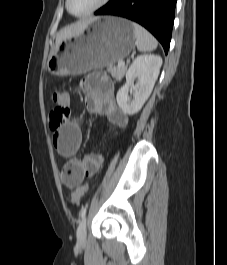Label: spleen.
<instances>
[{"label": "spleen", "instance_id": "1", "mask_svg": "<svg viewBox=\"0 0 227 265\" xmlns=\"http://www.w3.org/2000/svg\"><path fill=\"white\" fill-rule=\"evenodd\" d=\"M137 49L141 52L153 51L157 48V40L142 26L132 23Z\"/></svg>", "mask_w": 227, "mask_h": 265}]
</instances>
